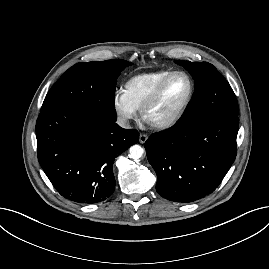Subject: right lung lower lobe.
<instances>
[{"label":"right lung lower lobe","mask_w":269,"mask_h":269,"mask_svg":"<svg viewBox=\"0 0 269 269\" xmlns=\"http://www.w3.org/2000/svg\"><path fill=\"white\" fill-rule=\"evenodd\" d=\"M115 122L69 107L40 112L38 160L64 198L94 204L113 193V162L139 140L135 129H123Z\"/></svg>","instance_id":"98d812e1"}]
</instances>
